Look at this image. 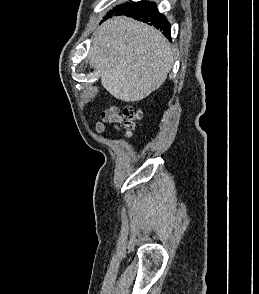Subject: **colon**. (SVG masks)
<instances>
[{
  "label": "colon",
  "mask_w": 259,
  "mask_h": 294,
  "mask_svg": "<svg viewBox=\"0 0 259 294\" xmlns=\"http://www.w3.org/2000/svg\"><path fill=\"white\" fill-rule=\"evenodd\" d=\"M123 116L125 119V128L128 133H131L140 121L142 114L135 106L129 105L125 107Z\"/></svg>",
  "instance_id": "obj_1"
}]
</instances>
